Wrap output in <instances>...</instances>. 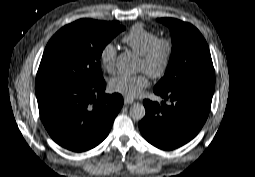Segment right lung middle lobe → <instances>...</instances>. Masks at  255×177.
I'll list each match as a JSON object with an SVG mask.
<instances>
[{
    "label": "right lung middle lobe",
    "instance_id": "dd1d6c3e",
    "mask_svg": "<svg viewBox=\"0 0 255 177\" xmlns=\"http://www.w3.org/2000/svg\"><path fill=\"white\" fill-rule=\"evenodd\" d=\"M125 27L119 22L81 19L61 28L48 42L36 86L49 82L92 85L103 79L100 56Z\"/></svg>",
    "mask_w": 255,
    "mask_h": 177
}]
</instances>
